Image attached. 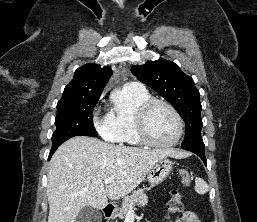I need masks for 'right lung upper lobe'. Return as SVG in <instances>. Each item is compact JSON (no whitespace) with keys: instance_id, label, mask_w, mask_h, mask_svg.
Listing matches in <instances>:
<instances>
[{"instance_id":"obj_1","label":"right lung upper lobe","mask_w":257,"mask_h":222,"mask_svg":"<svg viewBox=\"0 0 257 222\" xmlns=\"http://www.w3.org/2000/svg\"><path fill=\"white\" fill-rule=\"evenodd\" d=\"M111 76L110 67L101 68L97 64L87 63L76 69L72 81L64 89L61 100L100 96Z\"/></svg>"}]
</instances>
